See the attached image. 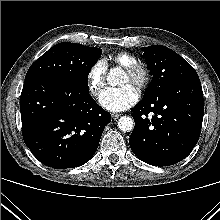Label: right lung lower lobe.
<instances>
[{"label": "right lung lower lobe", "mask_w": 220, "mask_h": 220, "mask_svg": "<svg viewBox=\"0 0 220 220\" xmlns=\"http://www.w3.org/2000/svg\"><path fill=\"white\" fill-rule=\"evenodd\" d=\"M20 109L25 144L41 163L55 169L89 161L111 121L110 113L90 96L83 79L25 80Z\"/></svg>", "instance_id": "1"}]
</instances>
